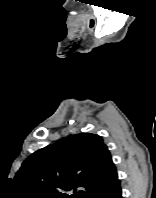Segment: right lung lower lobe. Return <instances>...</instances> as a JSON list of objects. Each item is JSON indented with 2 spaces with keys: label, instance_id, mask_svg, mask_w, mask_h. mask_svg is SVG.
Instances as JSON below:
<instances>
[{
  "label": "right lung lower lobe",
  "instance_id": "1",
  "mask_svg": "<svg viewBox=\"0 0 156 198\" xmlns=\"http://www.w3.org/2000/svg\"><path fill=\"white\" fill-rule=\"evenodd\" d=\"M106 198H122L121 187H117L112 193H110Z\"/></svg>",
  "mask_w": 156,
  "mask_h": 198
}]
</instances>
